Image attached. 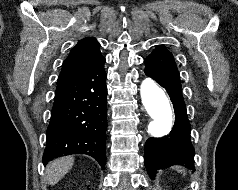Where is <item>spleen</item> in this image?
Listing matches in <instances>:
<instances>
[{
    "mask_svg": "<svg viewBox=\"0 0 238 190\" xmlns=\"http://www.w3.org/2000/svg\"><path fill=\"white\" fill-rule=\"evenodd\" d=\"M180 172H184V175H185V171L184 170H179Z\"/></svg>",
    "mask_w": 238,
    "mask_h": 190,
    "instance_id": "spleen-1",
    "label": "spleen"
}]
</instances>
